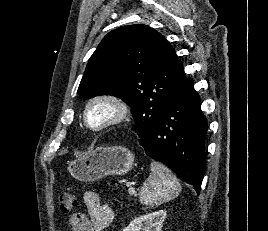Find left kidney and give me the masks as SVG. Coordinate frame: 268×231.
<instances>
[{
	"label": "left kidney",
	"instance_id": "left-kidney-1",
	"mask_svg": "<svg viewBox=\"0 0 268 231\" xmlns=\"http://www.w3.org/2000/svg\"><path fill=\"white\" fill-rule=\"evenodd\" d=\"M166 218V211L159 210L135 218L123 231H161Z\"/></svg>",
	"mask_w": 268,
	"mask_h": 231
}]
</instances>
